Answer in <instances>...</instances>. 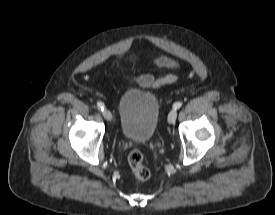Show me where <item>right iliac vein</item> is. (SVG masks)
<instances>
[{
	"instance_id": "obj_1",
	"label": "right iliac vein",
	"mask_w": 275,
	"mask_h": 215,
	"mask_svg": "<svg viewBox=\"0 0 275 215\" xmlns=\"http://www.w3.org/2000/svg\"><path fill=\"white\" fill-rule=\"evenodd\" d=\"M102 115L103 117L107 120V121H111L112 120V114L108 109H104L102 111Z\"/></svg>"
}]
</instances>
